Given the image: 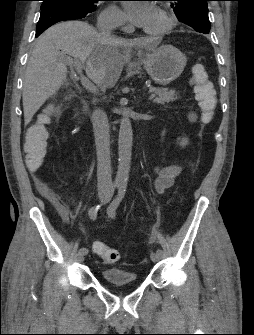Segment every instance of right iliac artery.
<instances>
[{
  "label": "right iliac artery",
  "mask_w": 254,
  "mask_h": 335,
  "mask_svg": "<svg viewBox=\"0 0 254 335\" xmlns=\"http://www.w3.org/2000/svg\"><path fill=\"white\" fill-rule=\"evenodd\" d=\"M102 204L95 205L89 209V217L92 220H95L97 217V214L101 208ZM80 252L84 253L85 255L88 253V249L85 247L80 248Z\"/></svg>",
  "instance_id": "right-iliac-artery-1"
}]
</instances>
